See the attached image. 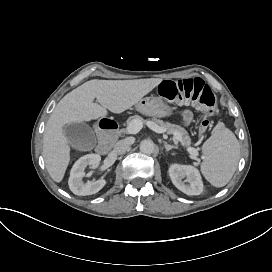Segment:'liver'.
Wrapping results in <instances>:
<instances>
[{
    "label": "liver",
    "mask_w": 272,
    "mask_h": 272,
    "mask_svg": "<svg viewBox=\"0 0 272 272\" xmlns=\"http://www.w3.org/2000/svg\"><path fill=\"white\" fill-rule=\"evenodd\" d=\"M162 82L161 78L137 80H90L66 94L50 115L43 136L46 169L61 182L70 160V147L63 132L69 123H81L113 113H122L138 103ZM100 103H93L94 99Z\"/></svg>",
    "instance_id": "obj_1"
}]
</instances>
